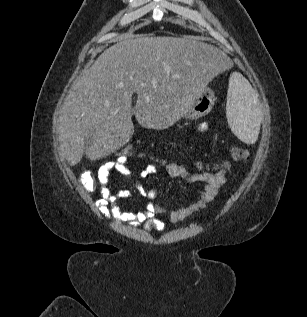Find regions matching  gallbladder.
I'll return each instance as SVG.
<instances>
[{"mask_svg": "<svg viewBox=\"0 0 307 317\" xmlns=\"http://www.w3.org/2000/svg\"><path fill=\"white\" fill-rule=\"evenodd\" d=\"M91 139V135L88 136L87 141H89Z\"/></svg>", "mask_w": 307, "mask_h": 317, "instance_id": "obj_1", "label": "gallbladder"}]
</instances>
